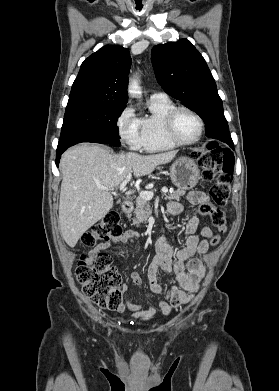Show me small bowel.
I'll return each instance as SVG.
<instances>
[{"mask_svg": "<svg viewBox=\"0 0 279 391\" xmlns=\"http://www.w3.org/2000/svg\"><path fill=\"white\" fill-rule=\"evenodd\" d=\"M187 200L194 205H209V197L201 191L190 192ZM167 209L170 214L178 215L182 212L183 206L178 202H170ZM199 220V216L189 219L184 229V234L187 236L185 246L176 252L164 236L159 237L156 241V256L147 270L149 288L156 295H160L163 292L164 288L157 280L159 269L166 273L174 274L178 285L170 287L164 299L157 298L155 303L150 304L146 309L143 308L142 304H135L126 299L125 303L118 308L119 314L124 315L125 310L128 309L131 311L133 319L148 321L155 318L156 307L163 315L168 316L173 310L190 302L193 295L198 292L201 281L205 276V267L202 261L194 258V256L206 254L209 251L207 239H211L214 236L213 231L209 227L200 228L199 232L202 238L196 234L199 229ZM138 236L133 231H126L121 234L118 241L127 243L133 241ZM108 246L109 243H99L90 251L89 258H95ZM131 279L136 285L142 284V278L138 272H133Z\"/></svg>", "mask_w": 279, "mask_h": 391, "instance_id": "1", "label": "small bowel"}]
</instances>
